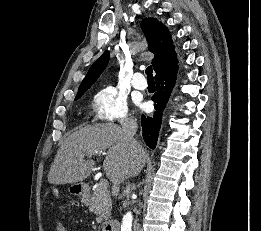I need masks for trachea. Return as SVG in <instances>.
Listing matches in <instances>:
<instances>
[{
  "mask_svg": "<svg viewBox=\"0 0 261 231\" xmlns=\"http://www.w3.org/2000/svg\"><path fill=\"white\" fill-rule=\"evenodd\" d=\"M152 72H153L152 66L147 67L146 74H147L148 81H154Z\"/></svg>",
  "mask_w": 261,
  "mask_h": 231,
  "instance_id": "obj_1",
  "label": "trachea"
}]
</instances>
